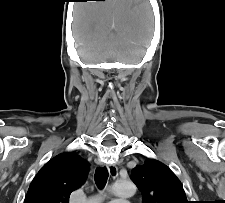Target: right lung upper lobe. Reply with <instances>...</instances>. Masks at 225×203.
Wrapping results in <instances>:
<instances>
[{"instance_id": "cb5924a9", "label": "right lung upper lobe", "mask_w": 225, "mask_h": 203, "mask_svg": "<svg viewBox=\"0 0 225 203\" xmlns=\"http://www.w3.org/2000/svg\"><path fill=\"white\" fill-rule=\"evenodd\" d=\"M88 167L76 153L57 155L34 177L24 203H69L72 191L85 182Z\"/></svg>"}]
</instances>
